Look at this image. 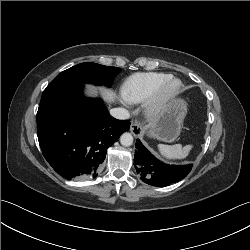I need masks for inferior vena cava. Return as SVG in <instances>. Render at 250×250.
I'll return each mask as SVG.
<instances>
[{"label":"inferior vena cava","instance_id":"obj_1","mask_svg":"<svg viewBox=\"0 0 250 250\" xmlns=\"http://www.w3.org/2000/svg\"><path fill=\"white\" fill-rule=\"evenodd\" d=\"M110 115L119 120L129 119L130 114L125 108H113L110 110Z\"/></svg>","mask_w":250,"mask_h":250}]
</instances>
